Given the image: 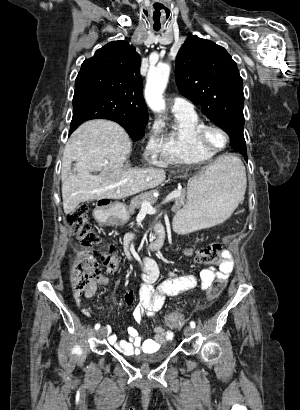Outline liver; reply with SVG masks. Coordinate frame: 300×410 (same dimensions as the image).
I'll list each match as a JSON object with an SVG mask.
<instances>
[{
    "instance_id": "1",
    "label": "liver",
    "mask_w": 300,
    "mask_h": 410,
    "mask_svg": "<svg viewBox=\"0 0 300 410\" xmlns=\"http://www.w3.org/2000/svg\"><path fill=\"white\" fill-rule=\"evenodd\" d=\"M132 143L125 130L112 121L91 120L69 138L62 159V198L65 214L82 202L121 199L155 188L166 179L163 169L124 167ZM229 156L208 167H223ZM76 161V173H69ZM207 167V168H208ZM92 171H100L92 175Z\"/></svg>"
}]
</instances>
